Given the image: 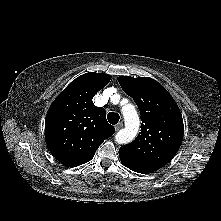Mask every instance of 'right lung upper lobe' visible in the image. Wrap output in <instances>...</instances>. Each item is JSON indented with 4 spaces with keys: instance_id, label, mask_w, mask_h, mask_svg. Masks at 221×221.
<instances>
[{
    "instance_id": "obj_1",
    "label": "right lung upper lobe",
    "mask_w": 221,
    "mask_h": 221,
    "mask_svg": "<svg viewBox=\"0 0 221 221\" xmlns=\"http://www.w3.org/2000/svg\"><path fill=\"white\" fill-rule=\"evenodd\" d=\"M110 80L108 74L85 73L51 104L45 119L46 144L63 165L76 167L90 161L100 144L114 134L105 109L92 102Z\"/></svg>"
}]
</instances>
